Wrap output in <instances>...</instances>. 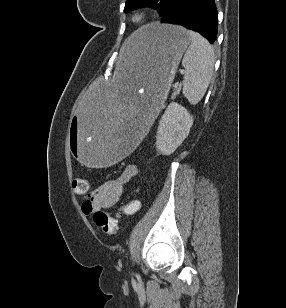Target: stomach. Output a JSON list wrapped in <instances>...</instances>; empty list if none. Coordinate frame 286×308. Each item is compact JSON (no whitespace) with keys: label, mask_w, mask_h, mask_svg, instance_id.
Here are the masks:
<instances>
[{"label":"stomach","mask_w":286,"mask_h":308,"mask_svg":"<svg viewBox=\"0 0 286 308\" xmlns=\"http://www.w3.org/2000/svg\"><path fill=\"white\" fill-rule=\"evenodd\" d=\"M136 32L121 44L113 81H101L73 114L68 149L81 168H112L143 144L191 43L178 25L152 23Z\"/></svg>","instance_id":"stomach-1"}]
</instances>
